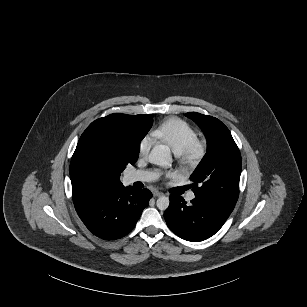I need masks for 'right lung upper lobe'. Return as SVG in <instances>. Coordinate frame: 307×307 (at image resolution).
I'll list each match as a JSON object with an SVG mask.
<instances>
[{
	"mask_svg": "<svg viewBox=\"0 0 307 307\" xmlns=\"http://www.w3.org/2000/svg\"><path fill=\"white\" fill-rule=\"evenodd\" d=\"M152 124L151 114L115 113L88 126L78 141L70 164L74 204L104 189L122 186L119 178L125 169L123 163H130L139 155L140 141Z\"/></svg>",
	"mask_w": 307,
	"mask_h": 307,
	"instance_id": "obj_1",
	"label": "right lung upper lobe"
}]
</instances>
